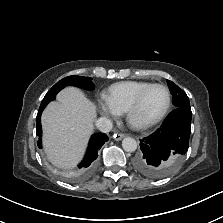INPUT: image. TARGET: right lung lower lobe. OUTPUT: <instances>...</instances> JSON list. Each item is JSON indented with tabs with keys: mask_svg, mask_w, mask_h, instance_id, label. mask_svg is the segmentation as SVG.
<instances>
[{
	"mask_svg": "<svg viewBox=\"0 0 223 223\" xmlns=\"http://www.w3.org/2000/svg\"><path fill=\"white\" fill-rule=\"evenodd\" d=\"M50 102V101H49ZM49 102L41 103L37 118H36V134L39 137L37 145L39 148H42L41 144V136H42V128H41V114L46 105ZM108 141V137L104 133H97L92 135L87 152L83 161L78 165V169L72 173L65 174L64 178L68 181H80L87 178L93 171L96 159L98 157V150L102 147V145Z\"/></svg>",
	"mask_w": 223,
	"mask_h": 223,
	"instance_id": "98d812e1",
	"label": "right lung lower lobe"
}]
</instances>
